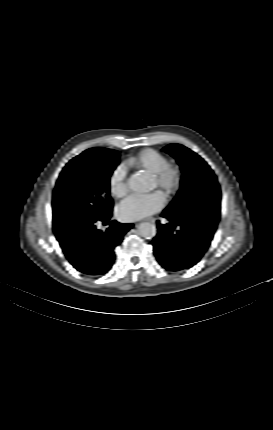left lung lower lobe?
Returning <instances> with one entry per match:
<instances>
[{
    "label": "left lung lower lobe",
    "instance_id": "1",
    "mask_svg": "<svg viewBox=\"0 0 273 430\" xmlns=\"http://www.w3.org/2000/svg\"><path fill=\"white\" fill-rule=\"evenodd\" d=\"M189 212L177 214L165 209L167 224H158L153 239L158 262L169 271H180L195 265L207 251L220 219V199L202 196Z\"/></svg>",
    "mask_w": 273,
    "mask_h": 430
}]
</instances>
